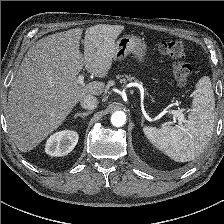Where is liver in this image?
<instances>
[{
	"instance_id": "obj_1",
	"label": "liver",
	"mask_w": 224,
	"mask_h": 224,
	"mask_svg": "<svg viewBox=\"0 0 224 224\" xmlns=\"http://www.w3.org/2000/svg\"><path fill=\"white\" fill-rule=\"evenodd\" d=\"M121 25L88 27L84 54L79 50L82 28L55 33L38 40L26 53L8 95V131L21 152L35 148L64 122L85 96H100L103 82L80 85L83 67L95 77L108 75L116 53Z\"/></svg>"
}]
</instances>
